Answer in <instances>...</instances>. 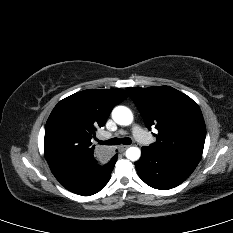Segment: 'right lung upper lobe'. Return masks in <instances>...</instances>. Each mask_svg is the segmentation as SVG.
Instances as JSON below:
<instances>
[{
    "mask_svg": "<svg viewBox=\"0 0 233 233\" xmlns=\"http://www.w3.org/2000/svg\"><path fill=\"white\" fill-rule=\"evenodd\" d=\"M127 97L123 89H88L61 100L45 127L48 164L94 158L95 131L105 125L113 107Z\"/></svg>",
    "mask_w": 233,
    "mask_h": 233,
    "instance_id": "right-lung-upper-lobe-1",
    "label": "right lung upper lobe"
}]
</instances>
